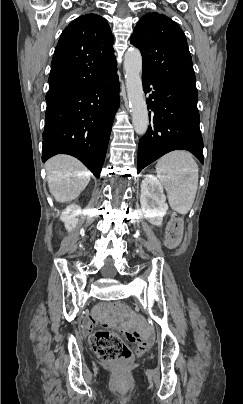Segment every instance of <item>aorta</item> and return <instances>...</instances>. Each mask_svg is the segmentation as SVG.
<instances>
[{"mask_svg": "<svg viewBox=\"0 0 243 404\" xmlns=\"http://www.w3.org/2000/svg\"><path fill=\"white\" fill-rule=\"evenodd\" d=\"M127 98L132 114V124L136 134H146L149 118L142 88V56L137 48H129L124 56Z\"/></svg>", "mask_w": 243, "mask_h": 404, "instance_id": "obj_1", "label": "aorta"}]
</instances>
